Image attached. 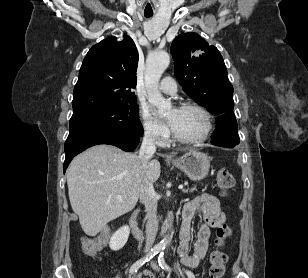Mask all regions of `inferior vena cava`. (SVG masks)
Here are the masks:
<instances>
[{
  "label": "inferior vena cava",
  "instance_id": "inferior-vena-cava-1",
  "mask_svg": "<svg viewBox=\"0 0 308 278\" xmlns=\"http://www.w3.org/2000/svg\"><path fill=\"white\" fill-rule=\"evenodd\" d=\"M155 139L156 135L153 132H146L145 136L143 137L138 157L144 167H146L149 159L156 151ZM140 201L145 205V210L147 213L145 252H148L152 248L156 234L158 232V198L153 184L147 179L142 181L140 187Z\"/></svg>",
  "mask_w": 308,
  "mask_h": 278
}]
</instances>
